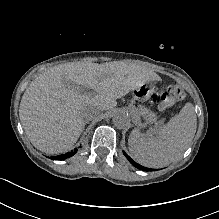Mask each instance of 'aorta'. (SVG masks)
I'll return each instance as SVG.
<instances>
[{"label":"aorta","mask_w":219,"mask_h":219,"mask_svg":"<svg viewBox=\"0 0 219 219\" xmlns=\"http://www.w3.org/2000/svg\"><path fill=\"white\" fill-rule=\"evenodd\" d=\"M112 121L118 129H127L130 126V119L128 115L122 110H116L113 112Z\"/></svg>","instance_id":"obj_1"}]
</instances>
